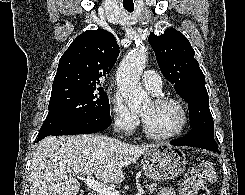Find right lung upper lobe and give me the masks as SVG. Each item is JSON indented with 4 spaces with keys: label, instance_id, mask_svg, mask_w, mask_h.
Returning <instances> with one entry per match:
<instances>
[{
    "label": "right lung upper lobe",
    "instance_id": "1",
    "mask_svg": "<svg viewBox=\"0 0 245 195\" xmlns=\"http://www.w3.org/2000/svg\"><path fill=\"white\" fill-rule=\"evenodd\" d=\"M119 55L114 36L102 29L88 30L79 35L59 60L52 92L100 86Z\"/></svg>",
    "mask_w": 245,
    "mask_h": 195
}]
</instances>
